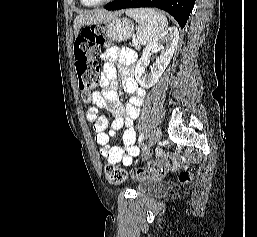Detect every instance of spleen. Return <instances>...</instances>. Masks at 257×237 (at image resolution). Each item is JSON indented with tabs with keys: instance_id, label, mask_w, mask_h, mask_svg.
Segmentation results:
<instances>
[{
	"instance_id": "3e777b00",
	"label": "spleen",
	"mask_w": 257,
	"mask_h": 237,
	"mask_svg": "<svg viewBox=\"0 0 257 237\" xmlns=\"http://www.w3.org/2000/svg\"><path fill=\"white\" fill-rule=\"evenodd\" d=\"M126 15L140 24L137 38L142 45H148L167 28V18L154 9H128Z\"/></svg>"
}]
</instances>
